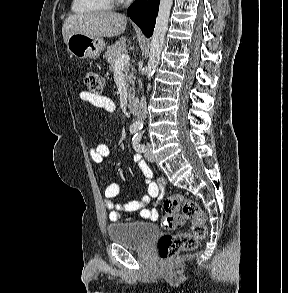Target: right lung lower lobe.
Masks as SVG:
<instances>
[{"mask_svg":"<svg viewBox=\"0 0 288 293\" xmlns=\"http://www.w3.org/2000/svg\"><path fill=\"white\" fill-rule=\"evenodd\" d=\"M160 0H136L127 10V15L150 37L155 27Z\"/></svg>","mask_w":288,"mask_h":293,"instance_id":"obj_1","label":"right lung lower lobe"}]
</instances>
